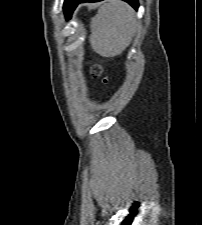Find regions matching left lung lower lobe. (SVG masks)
<instances>
[{"label": "left lung lower lobe", "mask_w": 202, "mask_h": 225, "mask_svg": "<svg viewBox=\"0 0 202 225\" xmlns=\"http://www.w3.org/2000/svg\"><path fill=\"white\" fill-rule=\"evenodd\" d=\"M98 1L102 0H77L73 8L75 9L76 6L81 2H98ZM124 1L128 2L134 9L138 8V0H124Z\"/></svg>", "instance_id": "0a47b994"}]
</instances>
